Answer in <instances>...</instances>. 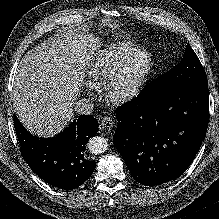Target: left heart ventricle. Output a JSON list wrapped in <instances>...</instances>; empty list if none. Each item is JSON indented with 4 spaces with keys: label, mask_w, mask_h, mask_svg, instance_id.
<instances>
[{
    "label": "left heart ventricle",
    "mask_w": 219,
    "mask_h": 219,
    "mask_svg": "<svg viewBox=\"0 0 219 219\" xmlns=\"http://www.w3.org/2000/svg\"><path fill=\"white\" fill-rule=\"evenodd\" d=\"M146 62V58L140 57L134 63L129 65L123 73L121 87L127 88L131 86V84L138 78L142 70L145 68Z\"/></svg>",
    "instance_id": "obj_1"
}]
</instances>
